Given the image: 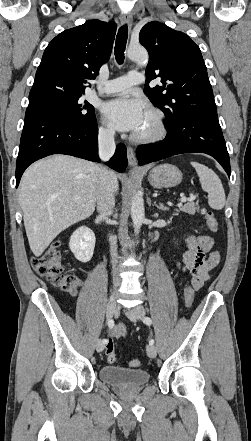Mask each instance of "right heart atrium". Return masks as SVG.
<instances>
[{
    "label": "right heart atrium",
    "mask_w": 251,
    "mask_h": 441,
    "mask_svg": "<svg viewBox=\"0 0 251 441\" xmlns=\"http://www.w3.org/2000/svg\"><path fill=\"white\" fill-rule=\"evenodd\" d=\"M99 135L102 138H111L113 136V130L109 126L103 124L99 127Z\"/></svg>",
    "instance_id": "1"
}]
</instances>
